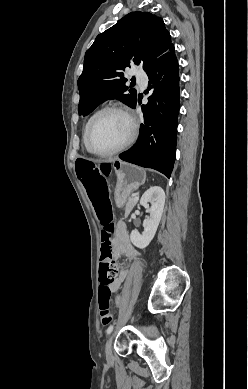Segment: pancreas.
I'll return each mask as SVG.
<instances>
[{"mask_svg":"<svg viewBox=\"0 0 248 389\" xmlns=\"http://www.w3.org/2000/svg\"><path fill=\"white\" fill-rule=\"evenodd\" d=\"M135 204H136V200L133 197H129L126 203L125 213L129 214L132 208L135 206Z\"/></svg>","mask_w":248,"mask_h":389,"instance_id":"cf45deb5","label":"pancreas"}]
</instances>
